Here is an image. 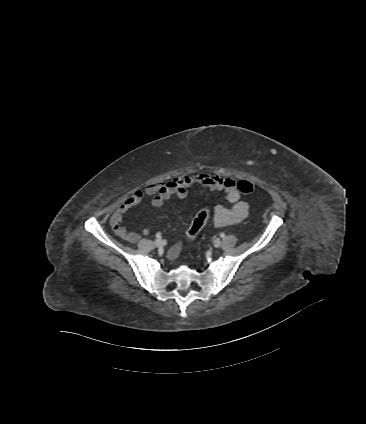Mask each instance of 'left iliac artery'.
I'll return each mask as SVG.
<instances>
[{"label":"left iliac artery","instance_id":"obj_1","mask_svg":"<svg viewBox=\"0 0 366 424\" xmlns=\"http://www.w3.org/2000/svg\"><path fill=\"white\" fill-rule=\"evenodd\" d=\"M220 237L224 238L225 234L224 233H220Z\"/></svg>","mask_w":366,"mask_h":424}]
</instances>
